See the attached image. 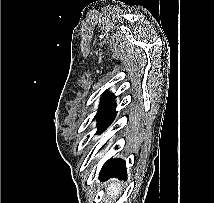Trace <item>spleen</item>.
I'll return each instance as SVG.
<instances>
[{"instance_id": "1", "label": "spleen", "mask_w": 214, "mask_h": 203, "mask_svg": "<svg viewBox=\"0 0 214 203\" xmlns=\"http://www.w3.org/2000/svg\"><path fill=\"white\" fill-rule=\"evenodd\" d=\"M121 191V184L119 182L111 183L108 185L107 194L111 196V198H117L119 196V192Z\"/></svg>"}]
</instances>
